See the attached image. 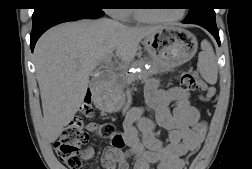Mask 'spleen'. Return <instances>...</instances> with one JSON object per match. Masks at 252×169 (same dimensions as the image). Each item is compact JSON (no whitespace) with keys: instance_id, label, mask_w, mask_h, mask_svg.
Returning <instances> with one entry per match:
<instances>
[{"instance_id":"spleen-1","label":"spleen","mask_w":252,"mask_h":169,"mask_svg":"<svg viewBox=\"0 0 252 169\" xmlns=\"http://www.w3.org/2000/svg\"><path fill=\"white\" fill-rule=\"evenodd\" d=\"M201 50L198 54V71L207 83L214 85L218 78V66L214 50L207 40L202 41Z\"/></svg>"}]
</instances>
